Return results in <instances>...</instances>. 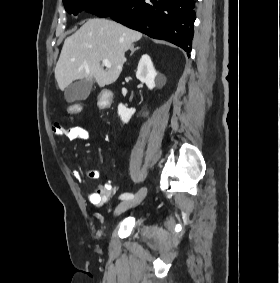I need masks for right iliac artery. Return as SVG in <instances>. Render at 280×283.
Masks as SVG:
<instances>
[{"label":"right iliac artery","mask_w":280,"mask_h":283,"mask_svg":"<svg viewBox=\"0 0 280 283\" xmlns=\"http://www.w3.org/2000/svg\"><path fill=\"white\" fill-rule=\"evenodd\" d=\"M133 197L134 195L132 193L126 192V193H122L119 198L121 200H128V199H132Z\"/></svg>","instance_id":"1"}]
</instances>
